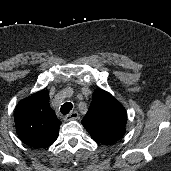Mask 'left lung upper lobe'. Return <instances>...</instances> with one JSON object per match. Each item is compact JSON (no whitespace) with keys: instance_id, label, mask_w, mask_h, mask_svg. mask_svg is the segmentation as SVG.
I'll list each match as a JSON object with an SVG mask.
<instances>
[{"instance_id":"5c2ea615","label":"left lung upper lobe","mask_w":171,"mask_h":171,"mask_svg":"<svg viewBox=\"0 0 171 171\" xmlns=\"http://www.w3.org/2000/svg\"><path fill=\"white\" fill-rule=\"evenodd\" d=\"M126 121L125 108L110 93L97 89L82 124L94 141L113 144L125 134Z\"/></svg>"}]
</instances>
